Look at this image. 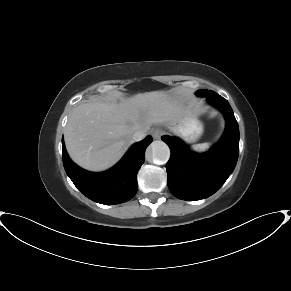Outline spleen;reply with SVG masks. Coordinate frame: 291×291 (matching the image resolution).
<instances>
[{"mask_svg": "<svg viewBox=\"0 0 291 291\" xmlns=\"http://www.w3.org/2000/svg\"><path fill=\"white\" fill-rule=\"evenodd\" d=\"M210 147H211V143H207V142L192 145V149L199 153L207 151Z\"/></svg>", "mask_w": 291, "mask_h": 291, "instance_id": "3e777b00", "label": "spleen"}]
</instances>
